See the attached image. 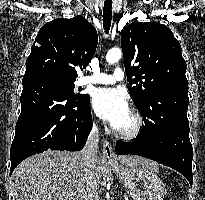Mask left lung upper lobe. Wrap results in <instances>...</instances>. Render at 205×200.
Masks as SVG:
<instances>
[{
    "label": "left lung upper lobe",
    "mask_w": 205,
    "mask_h": 200,
    "mask_svg": "<svg viewBox=\"0 0 205 200\" xmlns=\"http://www.w3.org/2000/svg\"><path fill=\"white\" fill-rule=\"evenodd\" d=\"M127 86L145 127L153 121L150 99L156 90L188 88L186 62L172 31L158 22H135L124 27L121 36ZM162 111V109H160Z\"/></svg>",
    "instance_id": "obj_1"
}]
</instances>
